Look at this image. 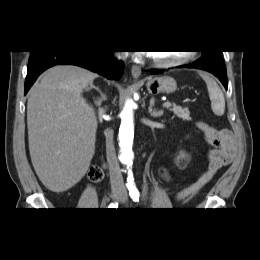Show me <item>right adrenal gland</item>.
Segmentation results:
<instances>
[{"label":"right adrenal gland","instance_id":"2a0ac1e0","mask_svg":"<svg viewBox=\"0 0 260 260\" xmlns=\"http://www.w3.org/2000/svg\"><path fill=\"white\" fill-rule=\"evenodd\" d=\"M92 89H95L97 92L100 93V97H98L94 100L95 105L100 107L102 101H105L107 99V97L104 93H102V91L98 87L94 86L92 83L90 84V87L86 88V91H90Z\"/></svg>","mask_w":260,"mask_h":260}]
</instances>
